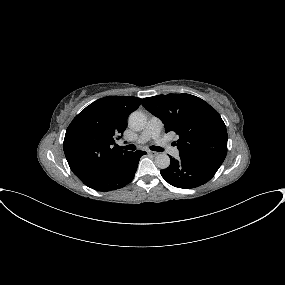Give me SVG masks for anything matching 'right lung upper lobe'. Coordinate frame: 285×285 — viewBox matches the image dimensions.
<instances>
[{
  "label": "right lung upper lobe",
  "mask_w": 285,
  "mask_h": 285,
  "mask_svg": "<svg viewBox=\"0 0 285 285\" xmlns=\"http://www.w3.org/2000/svg\"><path fill=\"white\" fill-rule=\"evenodd\" d=\"M141 104L134 96H107L82 110L66 130L63 148L72 172L86 182L111 171L131 152L113 147Z\"/></svg>",
  "instance_id": "obj_1"
}]
</instances>
